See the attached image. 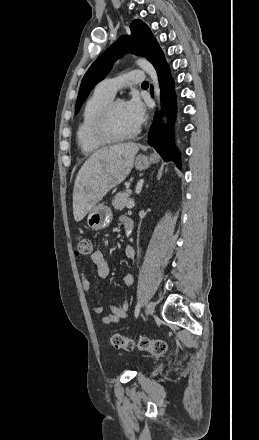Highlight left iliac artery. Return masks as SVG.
Returning <instances> with one entry per match:
<instances>
[{"label":"left iliac artery","mask_w":259,"mask_h":440,"mask_svg":"<svg viewBox=\"0 0 259 440\" xmlns=\"http://www.w3.org/2000/svg\"><path fill=\"white\" fill-rule=\"evenodd\" d=\"M139 312H140V304L138 303L135 307V317L139 315Z\"/></svg>","instance_id":"obj_1"}]
</instances>
